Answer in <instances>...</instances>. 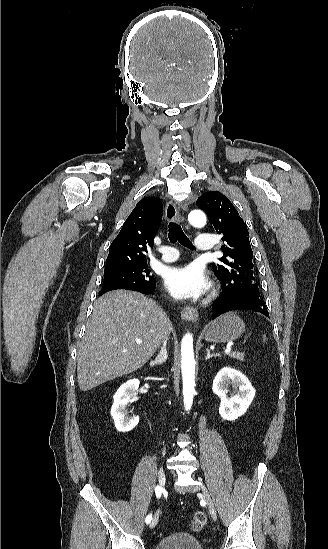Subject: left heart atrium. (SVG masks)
Returning <instances> with one entry per match:
<instances>
[{"instance_id":"left-heart-atrium-1","label":"left heart atrium","mask_w":328,"mask_h":549,"mask_svg":"<svg viewBox=\"0 0 328 549\" xmlns=\"http://www.w3.org/2000/svg\"><path fill=\"white\" fill-rule=\"evenodd\" d=\"M164 282L167 291L177 299L198 298L210 287L206 270L198 263L170 269Z\"/></svg>"}]
</instances>
